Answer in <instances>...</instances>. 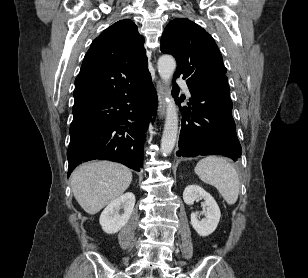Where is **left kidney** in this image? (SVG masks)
<instances>
[{"mask_svg":"<svg viewBox=\"0 0 308 278\" xmlns=\"http://www.w3.org/2000/svg\"><path fill=\"white\" fill-rule=\"evenodd\" d=\"M198 198L205 200V210L203 214L205 218L198 220L197 213H191V224L195 231L202 237L212 234L219 223L221 213L214 198L198 185H190L183 192V200L187 205H192Z\"/></svg>","mask_w":308,"mask_h":278,"instance_id":"obj_1","label":"left kidney"}]
</instances>
